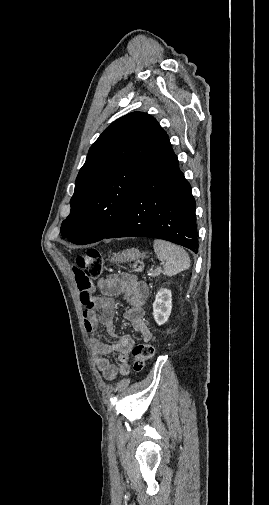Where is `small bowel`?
Segmentation results:
<instances>
[{
	"label": "small bowel",
	"instance_id": "obj_1",
	"mask_svg": "<svg viewBox=\"0 0 269 505\" xmlns=\"http://www.w3.org/2000/svg\"><path fill=\"white\" fill-rule=\"evenodd\" d=\"M75 286L80 291V300L86 307L83 312L84 327L90 338V346L94 362L104 379L114 380L119 374L127 375L130 371L129 355L134 345L130 335H118L114 330V301L113 297L123 296L129 304L124 313L125 319L131 324L133 330L140 334L145 342L152 339V333L145 322L144 303L148 296L147 285L139 282L134 276L119 273L101 278L99 281H90L85 268H79L77 262H72ZM91 283H97L101 295L93 293ZM99 326L116 341L112 344L102 342L97 337ZM118 353V363L113 364L107 355Z\"/></svg>",
	"mask_w": 269,
	"mask_h": 505
}]
</instances>
